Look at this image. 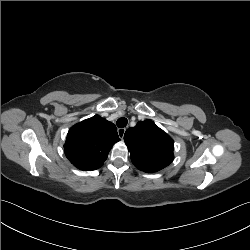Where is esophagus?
I'll return each mask as SVG.
<instances>
[{
    "label": "esophagus",
    "instance_id": "obj_1",
    "mask_svg": "<svg viewBox=\"0 0 250 250\" xmlns=\"http://www.w3.org/2000/svg\"><path fill=\"white\" fill-rule=\"evenodd\" d=\"M125 131H126L125 128H119V129L117 130L118 135H119V137H120L121 139H123L124 134H125Z\"/></svg>",
    "mask_w": 250,
    "mask_h": 250
}]
</instances>
